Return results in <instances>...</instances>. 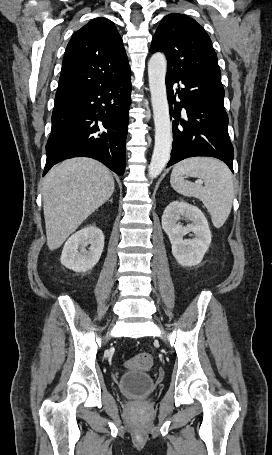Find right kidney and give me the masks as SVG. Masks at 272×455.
<instances>
[{
  "instance_id": "obj_1",
  "label": "right kidney",
  "mask_w": 272,
  "mask_h": 455,
  "mask_svg": "<svg viewBox=\"0 0 272 455\" xmlns=\"http://www.w3.org/2000/svg\"><path fill=\"white\" fill-rule=\"evenodd\" d=\"M88 245L90 247L87 250ZM103 248V232L96 226H87L67 240L62 251L61 264L75 272H85L98 263Z\"/></svg>"
}]
</instances>
